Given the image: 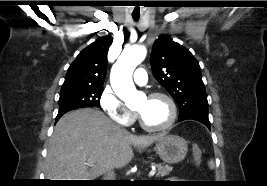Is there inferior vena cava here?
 I'll return each instance as SVG.
<instances>
[{"label":"inferior vena cava","mask_w":267,"mask_h":186,"mask_svg":"<svg viewBox=\"0 0 267 186\" xmlns=\"http://www.w3.org/2000/svg\"><path fill=\"white\" fill-rule=\"evenodd\" d=\"M113 177H114V173L113 171H111V169L105 173V180H113Z\"/></svg>","instance_id":"602c4592"}]
</instances>
